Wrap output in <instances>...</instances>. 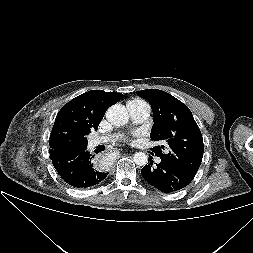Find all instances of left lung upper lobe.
<instances>
[{"mask_svg":"<svg viewBox=\"0 0 253 253\" xmlns=\"http://www.w3.org/2000/svg\"><path fill=\"white\" fill-rule=\"evenodd\" d=\"M152 107L154 126L150 138L165 143L151 150L180 172L193 179L200 167L204 145L200 129L190 109L167 92L158 89L138 91ZM166 148V152H163Z\"/></svg>","mask_w":253,"mask_h":253,"instance_id":"left-lung-upper-lobe-1","label":"left lung upper lobe"}]
</instances>
